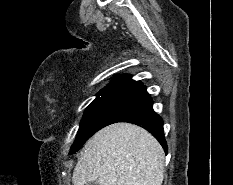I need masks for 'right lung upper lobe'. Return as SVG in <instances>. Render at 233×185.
Returning a JSON list of instances; mask_svg holds the SVG:
<instances>
[{"label":"right lung upper lobe","instance_id":"1","mask_svg":"<svg viewBox=\"0 0 233 185\" xmlns=\"http://www.w3.org/2000/svg\"><path fill=\"white\" fill-rule=\"evenodd\" d=\"M141 86V83L131 79L129 75H123L114 79L110 84H108L104 90H127L132 91L137 87Z\"/></svg>","mask_w":233,"mask_h":185}]
</instances>
